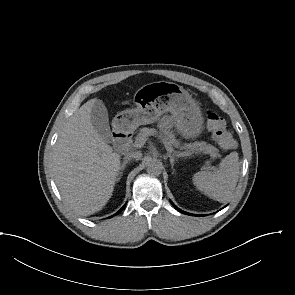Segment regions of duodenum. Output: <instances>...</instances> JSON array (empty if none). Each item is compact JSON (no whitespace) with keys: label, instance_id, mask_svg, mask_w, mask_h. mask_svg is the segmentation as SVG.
<instances>
[{"label":"duodenum","instance_id":"410a0bca","mask_svg":"<svg viewBox=\"0 0 295 295\" xmlns=\"http://www.w3.org/2000/svg\"><path fill=\"white\" fill-rule=\"evenodd\" d=\"M131 141V134L128 129V124L121 122L117 123L113 132V145L116 151L126 152Z\"/></svg>","mask_w":295,"mask_h":295}]
</instances>
